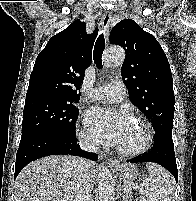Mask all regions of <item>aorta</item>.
<instances>
[{
    "mask_svg": "<svg viewBox=\"0 0 196 201\" xmlns=\"http://www.w3.org/2000/svg\"><path fill=\"white\" fill-rule=\"evenodd\" d=\"M124 59L125 52L118 46L108 48L104 54V64L107 67L120 66ZM98 181L99 201H115V182L107 166H101Z\"/></svg>",
    "mask_w": 196,
    "mask_h": 201,
    "instance_id": "1",
    "label": "aorta"
}]
</instances>
